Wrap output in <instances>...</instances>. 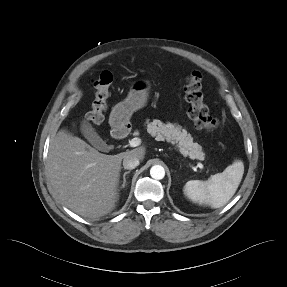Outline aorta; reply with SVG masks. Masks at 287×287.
I'll return each instance as SVG.
<instances>
[{"label": "aorta", "instance_id": "762f6f07", "mask_svg": "<svg viewBox=\"0 0 287 287\" xmlns=\"http://www.w3.org/2000/svg\"><path fill=\"white\" fill-rule=\"evenodd\" d=\"M150 175L153 179L161 180L165 176V170L161 165H154L150 169Z\"/></svg>", "mask_w": 287, "mask_h": 287}]
</instances>
